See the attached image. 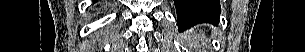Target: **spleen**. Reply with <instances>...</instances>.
<instances>
[{
    "label": "spleen",
    "mask_w": 305,
    "mask_h": 52,
    "mask_svg": "<svg viewBox=\"0 0 305 52\" xmlns=\"http://www.w3.org/2000/svg\"><path fill=\"white\" fill-rule=\"evenodd\" d=\"M185 36L189 39L190 46L195 52H208L206 50L210 47L209 39L201 31L197 33L196 27L187 31Z\"/></svg>",
    "instance_id": "1"
}]
</instances>
